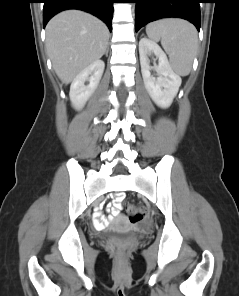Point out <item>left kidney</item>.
<instances>
[{
  "mask_svg": "<svg viewBox=\"0 0 239 296\" xmlns=\"http://www.w3.org/2000/svg\"><path fill=\"white\" fill-rule=\"evenodd\" d=\"M154 53L158 58L157 66L151 67L148 63L147 54ZM139 54L141 72L145 88L152 100L161 108H168L177 95L181 85V78L171 68L166 54L160 46L146 37L139 41ZM159 74L156 78L151 75V70Z\"/></svg>",
  "mask_w": 239,
  "mask_h": 296,
  "instance_id": "5707ae66",
  "label": "left kidney"
}]
</instances>
